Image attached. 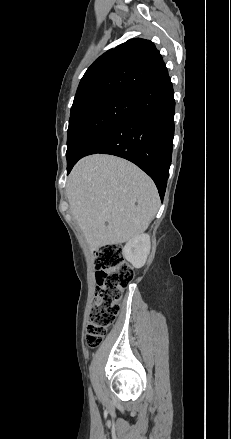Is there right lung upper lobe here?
<instances>
[{"label": "right lung upper lobe", "mask_w": 231, "mask_h": 439, "mask_svg": "<svg viewBox=\"0 0 231 439\" xmlns=\"http://www.w3.org/2000/svg\"><path fill=\"white\" fill-rule=\"evenodd\" d=\"M168 75L155 45L140 38L128 40L100 56L86 71L72 108L114 93H136Z\"/></svg>", "instance_id": "cb5924a9"}]
</instances>
